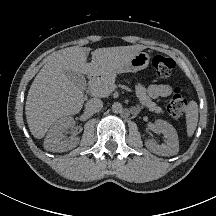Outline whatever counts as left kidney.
I'll return each mask as SVG.
<instances>
[{"instance_id":"left-kidney-1","label":"left kidney","mask_w":216,"mask_h":216,"mask_svg":"<svg viewBox=\"0 0 216 216\" xmlns=\"http://www.w3.org/2000/svg\"><path fill=\"white\" fill-rule=\"evenodd\" d=\"M155 130L162 133L166 138V145L159 146L153 140L145 142L146 147L153 153L160 156H172L179 151L178 135L174 127L164 120L155 121Z\"/></svg>"}]
</instances>
